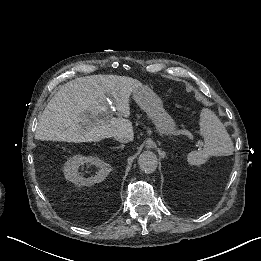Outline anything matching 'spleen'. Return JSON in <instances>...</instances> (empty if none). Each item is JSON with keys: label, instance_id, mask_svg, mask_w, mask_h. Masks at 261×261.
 <instances>
[{"label": "spleen", "instance_id": "spleen-1", "mask_svg": "<svg viewBox=\"0 0 261 261\" xmlns=\"http://www.w3.org/2000/svg\"><path fill=\"white\" fill-rule=\"evenodd\" d=\"M198 124L199 135L204 140V146L200 150L190 151L187 154V163L190 166L199 167L206 164L211 157L232 155L233 143L227 130L214 113L203 110Z\"/></svg>", "mask_w": 261, "mask_h": 261}]
</instances>
